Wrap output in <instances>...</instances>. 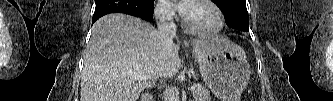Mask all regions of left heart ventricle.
I'll return each instance as SVG.
<instances>
[{"label":"left heart ventricle","mask_w":333,"mask_h":101,"mask_svg":"<svg viewBox=\"0 0 333 101\" xmlns=\"http://www.w3.org/2000/svg\"><path fill=\"white\" fill-rule=\"evenodd\" d=\"M184 17L188 25L198 31H211L217 25L215 12L201 2H189Z\"/></svg>","instance_id":"b2bd125f"}]
</instances>
